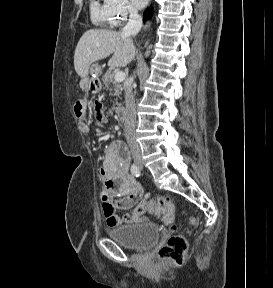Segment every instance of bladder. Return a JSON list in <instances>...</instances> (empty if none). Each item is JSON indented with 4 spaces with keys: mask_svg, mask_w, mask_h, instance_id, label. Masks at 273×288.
Listing matches in <instances>:
<instances>
[{
    "mask_svg": "<svg viewBox=\"0 0 273 288\" xmlns=\"http://www.w3.org/2000/svg\"><path fill=\"white\" fill-rule=\"evenodd\" d=\"M108 235L119 245L136 251L150 248L161 238L159 227L150 222L121 225L111 229Z\"/></svg>",
    "mask_w": 273,
    "mask_h": 288,
    "instance_id": "bladder-1",
    "label": "bladder"
}]
</instances>
